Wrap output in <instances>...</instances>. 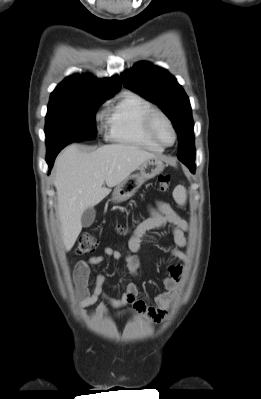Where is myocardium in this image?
Listing matches in <instances>:
<instances>
[{"mask_svg": "<svg viewBox=\"0 0 261 399\" xmlns=\"http://www.w3.org/2000/svg\"><path fill=\"white\" fill-rule=\"evenodd\" d=\"M156 117H162L170 126L172 132H173V142L171 144H165L164 142L161 141V139L157 136L156 132H155V128H154V123H155V119ZM144 127L146 130V133L148 134V136L159 146H161L162 148H168L171 147L175 144V142L177 141V131L176 128L174 126V123L172 122V120L170 119V117L164 113L163 111L156 109V108H152L145 116L144 119Z\"/></svg>", "mask_w": 261, "mask_h": 399, "instance_id": "f54148a6", "label": "myocardium"}]
</instances>
